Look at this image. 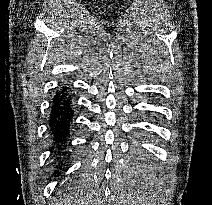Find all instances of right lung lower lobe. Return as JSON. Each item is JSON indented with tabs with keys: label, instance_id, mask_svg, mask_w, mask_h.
<instances>
[{
	"label": "right lung lower lobe",
	"instance_id": "98d812e1",
	"mask_svg": "<svg viewBox=\"0 0 212 205\" xmlns=\"http://www.w3.org/2000/svg\"><path fill=\"white\" fill-rule=\"evenodd\" d=\"M73 118V103L70 90L62 86L60 91H56L51 106V115L49 120V131L58 145L54 155H64L62 146L67 140Z\"/></svg>",
	"mask_w": 212,
	"mask_h": 205
}]
</instances>
